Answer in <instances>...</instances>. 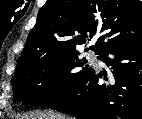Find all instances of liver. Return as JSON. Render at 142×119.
I'll return each instance as SVG.
<instances>
[{
	"label": "liver",
	"mask_w": 142,
	"mask_h": 119,
	"mask_svg": "<svg viewBox=\"0 0 142 119\" xmlns=\"http://www.w3.org/2000/svg\"><path fill=\"white\" fill-rule=\"evenodd\" d=\"M22 119H70L66 116L60 114H34L31 116H24Z\"/></svg>",
	"instance_id": "liver-1"
}]
</instances>
